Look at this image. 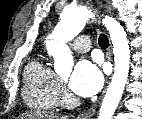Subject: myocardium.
I'll use <instances>...</instances> for the list:
<instances>
[{"label": "myocardium", "mask_w": 142, "mask_h": 119, "mask_svg": "<svg viewBox=\"0 0 142 119\" xmlns=\"http://www.w3.org/2000/svg\"><path fill=\"white\" fill-rule=\"evenodd\" d=\"M59 103L65 107H73L77 104V99L63 88L59 98Z\"/></svg>", "instance_id": "f54148a6"}]
</instances>
